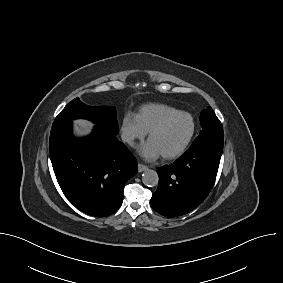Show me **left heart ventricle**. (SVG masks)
<instances>
[{"label": "left heart ventricle", "instance_id": "obj_1", "mask_svg": "<svg viewBox=\"0 0 283 283\" xmlns=\"http://www.w3.org/2000/svg\"><path fill=\"white\" fill-rule=\"evenodd\" d=\"M191 131V121L187 116L172 118L161 130L154 133L150 140L157 146L161 154L177 150L187 139Z\"/></svg>", "mask_w": 283, "mask_h": 283}]
</instances>
